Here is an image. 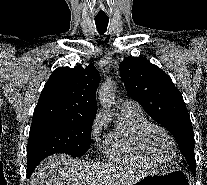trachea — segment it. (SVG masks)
<instances>
[{
	"instance_id": "trachea-1",
	"label": "trachea",
	"mask_w": 207,
	"mask_h": 185,
	"mask_svg": "<svg viewBox=\"0 0 207 185\" xmlns=\"http://www.w3.org/2000/svg\"><path fill=\"white\" fill-rule=\"evenodd\" d=\"M108 22V18H95V24L100 35H103L106 32Z\"/></svg>"
}]
</instances>
